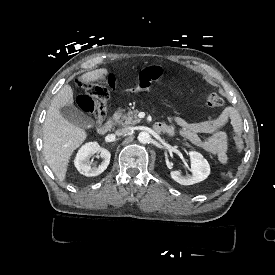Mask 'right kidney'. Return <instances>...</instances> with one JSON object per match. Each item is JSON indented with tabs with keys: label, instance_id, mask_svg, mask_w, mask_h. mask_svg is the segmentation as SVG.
<instances>
[{
	"label": "right kidney",
	"instance_id": "right-kidney-1",
	"mask_svg": "<svg viewBox=\"0 0 275 275\" xmlns=\"http://www.w3.org/2000/svg\"><path fill=\"white\" fill-rule=\"evenodd\" d=\"M97 152H100V156L104 161L98 167L92 168L89 165V158ZM110 158L111 153L107 149L100 147L97 142H88L78 150L74 159V165L85 176H97L107 169Z\"/></svg>",
	"mask_w": 275,
	"mask_h": 275
}]
</instances>
